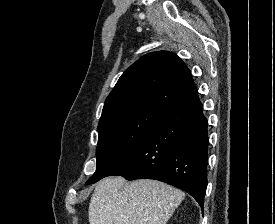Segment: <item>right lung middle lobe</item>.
<instances>
[{
    "label": "right lung middle lobe",
    "mask_w": 275,
    "mask_h": 224,
    "mask_svg": "<svg viewBox=\"0 0 275 224\" xmlns=\"http://www.w3.org/2000/svg\"><path fill=\"white\" fill-rule=\"evenodd\" d=\"M165 111L156 107L140 108L99 125L97 167L86 183L92 184L109 176L144 140Z\"/></svg>",
    "instance_id": "dd1d6c3e"
}]
</instances>
